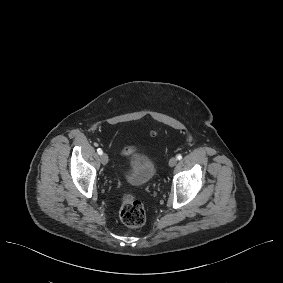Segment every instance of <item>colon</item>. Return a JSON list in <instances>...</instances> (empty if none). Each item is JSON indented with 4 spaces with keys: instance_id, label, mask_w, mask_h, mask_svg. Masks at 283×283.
Segmentation results:
<instances>
[{
    "instance_id": "5ec220e1",
    "label": "colon",
    "mask_w": 283,
    "mask_h": 283,
    "mask_svg": "<svg viewBox=\"0 0 283 283\" xmlns=\"http://www.w3.org/2000/svg\"><path fill=\"white\" fill-rule=\"evenodd\" d=\"M126 152L130 153L131 150L127 149ZM119 217L127 227L138 228L146 222V210L137 198L126 194L121 197Z\"/></svg>"
}]
</instances>
